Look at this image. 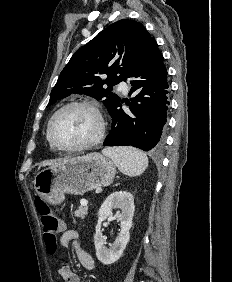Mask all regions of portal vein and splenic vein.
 I'll return each instance as SVG.
<instances>
[{"label": "portal vein and splenic vein", "mask_w": 232, "mask_h": 282, "mask_svg": "<svg viewBox=\"0 0 232 282\" xmlns=\"http://www.w3.org/2000/svg\"><path fill=\"white\" fill-rule=\"evenodd\" d=\"M80 204H81V206H87L88 201H87L86 199H82V200L80 201Z\"/></svg>", "instance_id": "1"}]
</instances>
